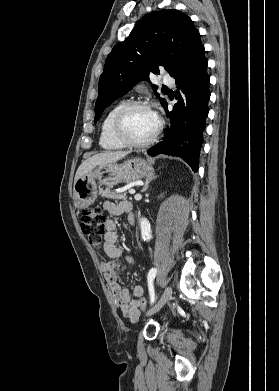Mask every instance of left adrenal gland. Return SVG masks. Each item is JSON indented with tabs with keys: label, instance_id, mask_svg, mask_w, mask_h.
Instances as JSON below:
<instances>
[{
	"label": "left adrenal gland",
	"instance_id": "obj_1",
	"mask_svg": "<svg viewBox=\"0 0 279 391\" xmlns=\"http://www.w3.org/2000/svg\"><path fill=\"white\" fill-rule=\"evenodd\" d=\"M156 178L155 174H151L148 178L145 180L144 187L141 192H145L148 189L149 183Z\"/></svg>",
	"mask_w": 279,
	"mask_h": 391
}]
</instances>
